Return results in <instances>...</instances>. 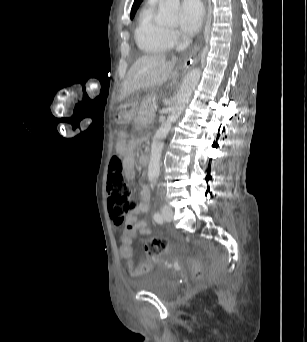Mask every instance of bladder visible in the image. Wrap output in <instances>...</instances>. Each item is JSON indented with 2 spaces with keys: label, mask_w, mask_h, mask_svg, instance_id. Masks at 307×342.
<instances>
[{
  "label": "bladder",
  "mask_w": 307,
  "mask_h": 342,
  "mask_svg": "<svg viewBox=\"0 0 307 342\" xmlns=\"http://www.w3.org/2000/svg\"><path fill=\"white\" fill-rule=\"evenodd\" d=\"M177 288V283L172 280L161 268L150 271L143 279L141 289L158 296H171Z\"/></svg>",
  "instance_id": "1"
}]
</instances>
